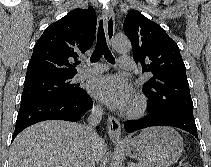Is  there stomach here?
Segmentation results:
<instances>
[{
	"label": "stomach",
	"mask_w": 211,
	"mask_h": 167,
	"mask_svg": "<svg viewBox=\"0 0 211 167\" xmlns=\"http://www.w3.org/2000/svg\"><path fill=\"white\" fill-rule=\"evenodd\" d=\"M126 154L144 167H170L183 152V139L169 127L144 129L123 146Z\"/></svg>",
	"instance_id": "stomach-1"
}]
</instances>
